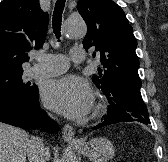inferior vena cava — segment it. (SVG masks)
Listing matches in <instances>:
<instances>
[{
  "label": "inferior vena cava",
  "instance_id": "1",
  "mask_svg": "<svg viewBox=\"0 0 168 162\" xmlns=\"http://www.w3.org/2000/svg\"><path fill=\"white\" fill-rule=\"evenodd\" d=\"M47 155H49V148L45 147L43 140L38 137L31 138L27 151L29 162H45Z\"/></svg>",
  "mask_w": 168,
  "mask_h": 162
}]
</instances>
